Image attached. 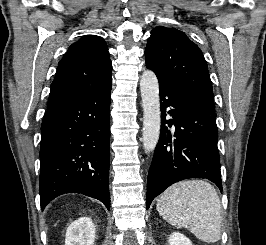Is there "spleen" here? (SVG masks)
I'll return each instance as SVG.
<instances>
[{"instance_id":"3e777b00","label":"spleen","mask_w":266,"mask_h":245,"mask_svg":"<svg viewBox=\"0 0 266 245\" xmlns=\"http://www.w3.org/2000/svg\"><path fill=\"white\" fill-rule=\"evenodd\" d=\"M161 217L191 231L203 243H217L221 235V203L206 181H181L162 193L156 205Z\"/></svg>"}]
</instances>
